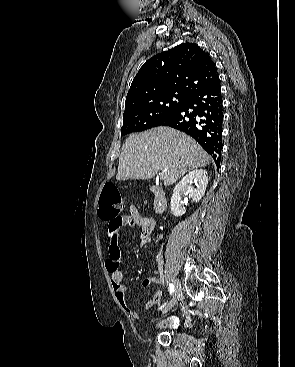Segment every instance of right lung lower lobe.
Segmentation results:
<instances>
[{
	"label": "right lung lower lobe",
	"instance_id": "right-lung-lower-lobe-1",
	"mask_svg": "<svg viewBox=\"0 0 295 367\" xmlns=\"http://www.w3.org/2000/svg\"><path fill=\"white\" fill-rule=\"evenodd\" d=\"M222 97L219 77L190 94L171 114L152 127L170 126L192 136L220 166L222 150ZM151 127V128H152Z\"/></svg>",
	"mask_w": 295,
	"mask_h": 367
}]
</instances>
